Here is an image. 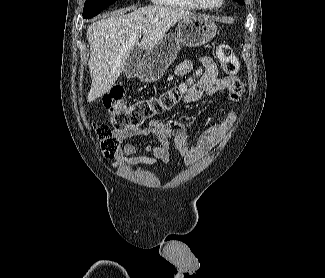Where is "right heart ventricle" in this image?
Masks as SVG:
<instances>
[{
	"label": "right heart ventricle",
	"instance_id": "1",
	"mask_svg": "<svg viewBox=\"0 0 325 278\" xmlns=\"http://www.w3.org/2000/svg\"><path fill=\"white\" fill-rule=\"evenodd\" d=\"M158 5L184 10H199L193 0H152Z\"/></svg>",
	"mask_w": 325,
	"mask_h": 278
}]
</instances>
